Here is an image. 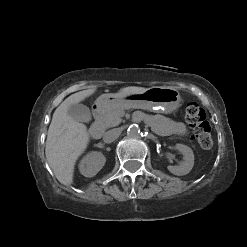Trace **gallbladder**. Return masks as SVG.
I'll return each mask as SVG.
<instances>
[{"instance_id": "gallbladder-1", "label": "gallbladder", "mask_w": 247, "mask_h": 247, "mask_svg": "<svg viewBox=\"0 0 247 247\" xmlns=\"http://www.w3.org/2000/svg\"><path fill=\"white\" fill-rule=\"evenodd\" d=\"M68 115L78 122H89L91 120V112L89 108L79 103L69 106Z\"/></svg>"}]
</instances>
